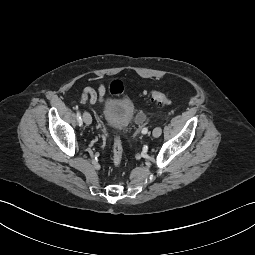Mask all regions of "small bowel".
<instances>
[{"label": "small bowel", "instance_id": "small-bowel-1", "mask_svg": "<svg viewBox=\"0 0 255 255\" xmlns=\"http://www.w3.org/2000/svg\"><path fill=\"white\" fill-rule=\"evenodd\" d=\"M106 95V88L103 84H98L97 89L86 87L80 97L82 103L90 102L92 105L102 103Z\"/></svg>", "mask_w": 255, "mask_h": 255}]
</instances>
